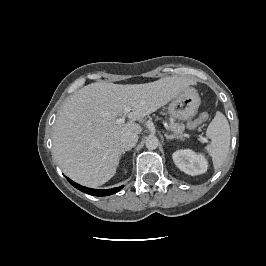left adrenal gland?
Returning a JSON list of instances; mask_svg holds the SVG:
<instances>
[{
    "instance_id": "a2214340",
    "label": "left adrenal gland",
    "mask_w": 266,
    "mask_h": 266,
    "mask_svg": "<svg viewBox=\"0 0 266 266\" xmlns=\"http://www.w3.org/2000/svg\"><path fill=\"white\" fill-rule=\"evenodd\" d=\"M164 136L166 137L167 140H173V139H176V138H180L178 136L170 135V134H167V133H165Z\"/></svg>"
}]
</instances>
